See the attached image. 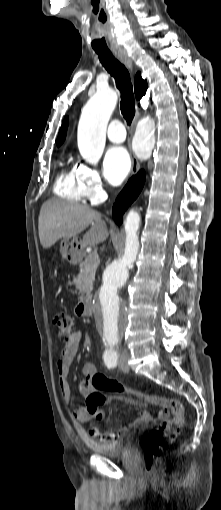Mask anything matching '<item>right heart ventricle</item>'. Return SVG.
Returning a JSON list of instances; mask_svg holds the SVG:
<instances>
[{
  "instance_id": "e07e8e85",
  "label": "right heart ventricle",
  "mask_w": 221,
  "mask_h": 510,
  "mask_svg": "<svg viewBox=\"0 0 221 510\" xmlns=\"http://www.w3.org/2000/svg\"><path fill=\"white\" fill-rule=\"evenodd\" d=\"M54 192L57 196L71 202H80L84 198L79 182V168L64 166L56 179Z\"/></svg>"
}]
</instances>
